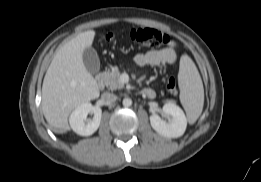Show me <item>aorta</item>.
I'll use <instances>...</instances> for the list:
<instances>
[{
	"label": "aorta",
	"mask_w": 261,
	"mask_h": 182,
	"mask_svg": "<svg viewBox=\"0 0 261 182\" xmlns=\"http://www.w3.org/2000/svg\"><path fill=\"white\" fill-rule=\"evenodd\" d=\"M122 104L124 107H130L132 105V100L130 98H124Z\"/></svg>",
	"instance_id": "1"
}]
</instances>
